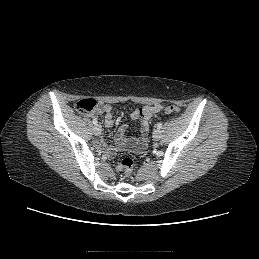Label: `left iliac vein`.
I'll return each instance as SVG.
<instances>
[{"instance_id":"4c4485c4","label":"left iliac vein","mask_w":259,"mask_h":259,"mask_svg":"<svg viewBox=\"0 0 259 259\" xmlns=\"http://www.w3.org/2000/svg\"><path fill=\"white\" fill-rule=\"evenodd\" d=\"M160 138H161V131L159 129L154 130L153 131V139L155 141H158V140H160Z\"/></svg>"}]
</instances>
